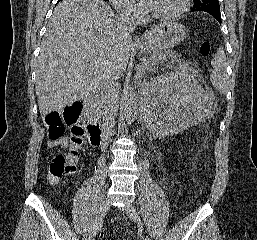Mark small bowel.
<instances>
[{"label": "small bowel", "instance_id": "obj_1", "mask_svg": "<svg viewBox=\"0 0 257 240\" xmlns=\"http://www.w3.org/2000/svg\"><path fill=\"white\" fill-rule=\"evenodd\" d=\"M47 146L50 149L61 150L66 146V143L63 140L49 141Z\"/></svg>", "mask_w": 257, "mask_h": 240}]
</instances>
